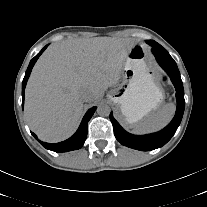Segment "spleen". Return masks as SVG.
I'll use <instances>...</instances> for the list:
<instances>
[{"instance_id":"spleen-1","label":"spleen","mask_w":207,"mask_h":207,"mask_svg":"<svg viewBox=\"0 0 207 207\" xmlns=\"http://www.w3.org/2000/svg\"><path fill=\"white\" fill-rule=\"evenodd\" d=\"M175 113V105L168 103L164 105L156 113L151 114L147 118L141 120L133 126V132L136 134H144L154 132L165 127L173 118Z\"/></svg>"}]
</instances>
